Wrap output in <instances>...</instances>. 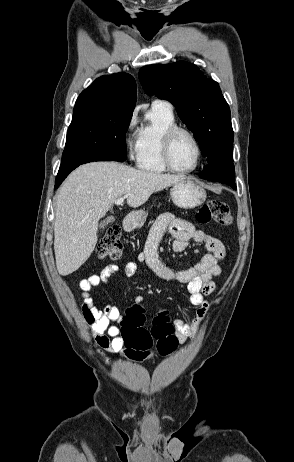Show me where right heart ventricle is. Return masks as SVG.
I'll return each mask as SVG.
<instances>
[{
  "label": "right heart ventricle",
  "mask_w": 294,
  "mask_h": 462,
  "mask_svg": "<svg viewBox=\"0 0 294 462\" xmlns=\"http://www.w3.org/2000/svg\"><path fill=\"white\" fill-rule=\"evenodd\" d=\"M177 126L173 110L162 104H152L136 133V164L145 172L160 174L168 169L161 156L162 138L166 130Z\"/></svg>",
  "instance_id": "1"
}]
</instances>
